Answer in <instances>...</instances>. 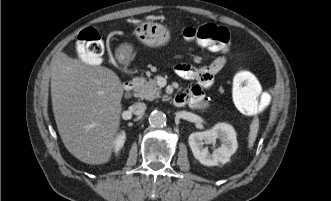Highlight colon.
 Instances as JSON below:
<instances>
[{
    "mask_svg": "<svg viewBox=\"0 0 331 201\" xmlns=\"http://www.w3.org/2000/svg\"><path fill=\"white\" fill-rule=\"evenodd\" d=\"M184 37L212 51L225 52L230 46V33L224 26L204 24L184 29ZM77 52L82 61L90 65L101 62L104 44L93 28L84 29L77 38ZM232 95L237 108L247 115H256L270 104V95L264 92L252 73L238 70L232 84Z\"/></svg>",
    "mask_w": 331,
    "mask_h": 201,
    "instance_id": "colon-1",
    "label": "colon"
}]
</instances>
